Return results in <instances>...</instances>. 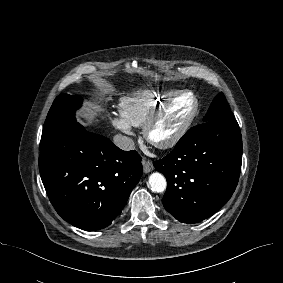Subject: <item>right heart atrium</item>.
Instances as JSON below:
<instances>
[{
  "mask_svg": "<svg viewBox=\"0 0 283 283\" xmlns=\"http://www.w3.org/2000/svg\"><path fill=\"white\" fill-rule=\"evenodd\" d=\"M111 122L115 128L118 130L126 133L132 134V127L131 125L123 118L122 115H115L111 118Z\"/></svg>",
  "mask_w": 283,
  "mask_h": 283,
  "instance_id": "obj_1",
  "label": "right heart atrium"
}]
</instances>
